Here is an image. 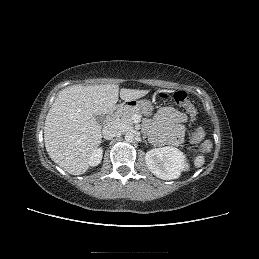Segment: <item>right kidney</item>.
<instances>
[{"label": "right kidney", "mask_w": 259, "mask_h": 259, "mask_svg": "<svg viewBox=\"0 0 259 259\" xmlns=\"http://www.w3.org/2000/svg\"><path fill=\"white\" fill-rule=\"evenodd\" d=\"M102 156H103V149L102 148L95 149L89 158V165L97 166L101 162Z\"/></svg>", "instance_id": "ca27d5eb"}]
</instances>
